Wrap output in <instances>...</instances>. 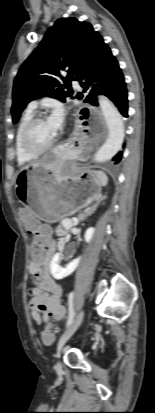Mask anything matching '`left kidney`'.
Returning a JSON list of instances; mask_svg holds the SVG:
<instances>
[{
    "label": "left kidney",
    "instance_id": "obj_1",
    "mask_svg": "<svg viewBox=\"0 0 155 413\" xmlns=\"http://www.w3.org/2000/svg\"><path fill=\"white\" fill-rule=\"evenodd\" d=\"M93 234H94V228L91 227L86 230L85 232L86 242L91 241ZM61 259H62L61 254L56 253L53 256L51 260V264H50L51 274L56 280H61L69 276L70 274H72L75 271V269L78 267L81 257H78L72 262H70L65 268L59 265V262L61 261Z\"/></svg>",
    "mask_w": 155,
    "mask_h": 413
}]
</instances>
